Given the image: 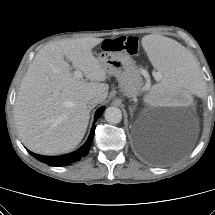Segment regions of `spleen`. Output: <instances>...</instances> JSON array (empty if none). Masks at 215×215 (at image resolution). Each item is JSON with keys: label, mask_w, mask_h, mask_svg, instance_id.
<instances>
[{"label": "spleen", "mask_w": 215, "mask_h": 215, "mask_svg": "<svg viewBox=\"0 0 215 215\" xmlns=\"http://www.w3.org/2000/svg\"><path fill=\"white\" fill-rule=\"evenodd\" d=\"M142 46L162 76L161 82L154 85L146 96L150 93L170 95L185 91L201 95L203 82L197 73L200 61L194 53L186 51L176 42L156 36L144 37Z\"/></svg>", "instance_id": "obj_1"}]
</instances>
